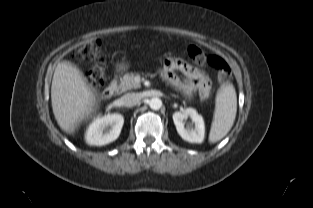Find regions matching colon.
Listing matches in <instances>:
<instances>
[{
	"label": "colon",
	"instance_id": "5ec220e1",
	"mask_svg": "<svg viewBox=\"0 0 313 208\" xmlns=\"http://www.w3.org/2000/svg\"><path fill=\"white\" fill-rule=\"evenodd\" d=\"M101 43L99 41H94L83 45L78 53L83 59H96L100 54ZM189 58L197 63L203 64L207 62L212 66L217 72V78L220 83H225L231 78V69L229 65L218 56H207L201 49L197 46L191 45L187 50ZM89 77L92 82L96 85H102L105 81V72L101 65H97L91 69Z\"/></svg>",
	"mask_w": 313,
	"mask_h": 208
}]
</instances>
